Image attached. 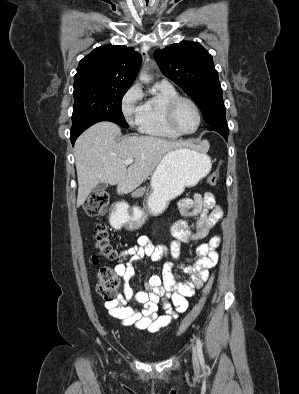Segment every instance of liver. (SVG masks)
I'll return each mask as SVG.
<instances>
[{"mask_svg":"<svg viewBox=\"0 0 299 394\" xmlns=\"http://www.w3.org/2000/svg\"><path fill=\"white\" fill-rule=\"evenodd\" d=\"M118 125L99 122L80 135L75 143L78 177L77 207L81 206L100 182L117 185V192L127 194L153 174L163 157L184 142L154 136H131L117 143ZM133 158L127 168L124 162Z\"/></svg>","mask_w":299,"mask_h":394,"instance_id":"liver-1","label":"liver"}]
</instances>
